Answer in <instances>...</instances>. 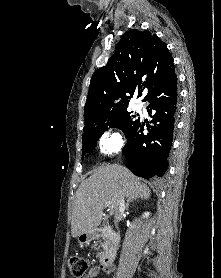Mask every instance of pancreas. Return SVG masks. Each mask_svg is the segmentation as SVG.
<instances>
[{
    "mask_svg": "<svg viewBox=\"0 0 221 278\" xmlns=\"http://www.w3.org/2000/svg\"><path fill=\"white\" fill-rule=\"evenodd\" d=\"M107 246H108V243H107V242L102 243V247H103V248H106Z\"/></svg>",
    "mask_w": 221,
    "mask_h": 278,
    "instance_id": "1",
    "label": "pancreas"
}]
</instances>
